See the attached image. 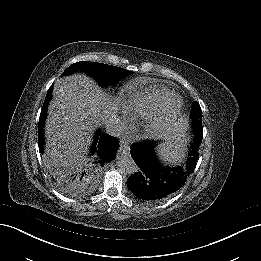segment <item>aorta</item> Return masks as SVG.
<instances>
[{"mask_svg": "<svg viewBox=\"0 0 261 261\" xmlns=\"http://www.w3.org/2000/svg\"><path fill=\"white\" fill-rule=\"evenodd\" d=\"M116 163L120 171L126 175L135 174L139 170L134 160L127 155H119Z\"/></svg>", "mask_w": 261, "mask_h": 261, "instance_id": "762f6f07", "label": "aorta"}]
</instances>
